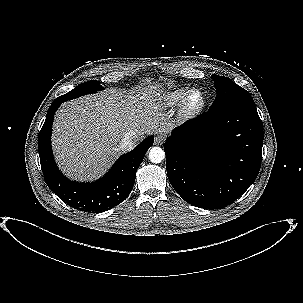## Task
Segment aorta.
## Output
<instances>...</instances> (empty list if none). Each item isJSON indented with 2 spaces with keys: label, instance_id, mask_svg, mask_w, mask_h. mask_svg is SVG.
Returning <instances> with one entry per match:
<instances>
[{
  "label": "aorta",
  "instance_id": "aorta-1",
  "mask_svg": "<svg viewBox=\"0 0 303 303\" xmlns=\"http://www.w3.org/2000/svg\"><path fill=\"white\" fill-rule=\"evenodd\" d=\"M149 159L152 163H160L165 159V152L160 147H153L149 151Z\"/></svg>",
  "mask_w": 303,
  "mask_h": 303
}]
</instances>
